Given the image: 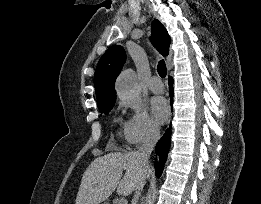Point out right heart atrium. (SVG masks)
I'll use <instances>...</instances> for the list:
<instances>
[{"label": "right heart atrium", "instance_id": "right-heart-atrium-1", "mask_svg": "<svg viewBox=\"0 0 261 204\" xmlns=\"http://www.w3.org/2000/svg\"><path fill=\"white\" fill-rule=\"evenodd\" d=\"M124 139L129 146L151 141L159 135V126L144 107L132 110L124 124Z\"/></svg>", "mask_w": 261, "mask_h": 204}]
</instances>
